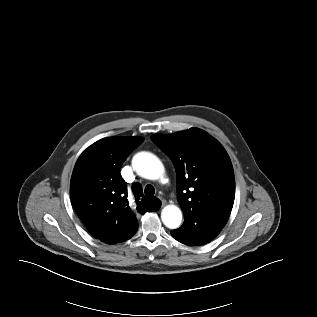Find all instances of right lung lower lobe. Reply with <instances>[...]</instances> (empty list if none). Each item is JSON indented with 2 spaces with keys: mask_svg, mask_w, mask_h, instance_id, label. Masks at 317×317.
Returning <instances> with one entry per match:
<instances>
[{
  "mask_svg": "<svg viewBox=\"0 0 317 317\" xmlns=\"http://www.w3.org/2000/svg\"><path fill=\"white\" fill-rule=\"evenodd\" d=\"M160 207H156V211L159 209Z\"/></svg>",
  "mask_w": 317,
  "mask_h": 317,
  "instance_id": "right-lung-lower-lobe-1",
  "label": "right lung lower lobe"
}]
</instances>
